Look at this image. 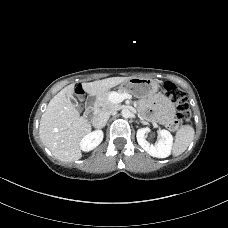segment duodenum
<instances>
[{"instance_id":"410a0bca","label":"duodenum","mask_w":228,"mask_h":228,"mask_svg":"<svg viewBox=\"0 0 228 228\" xmlns=\"http://www.w3.org/2000/svg\"><path fill=\"white\" fill-rule=\"evenodd\" d=\"M94 103H95V98H91L90 100H88L87 106H86V116H89L93 107H94Z\"/></svg>"}]
</instances>
